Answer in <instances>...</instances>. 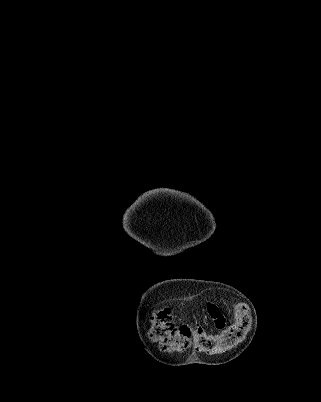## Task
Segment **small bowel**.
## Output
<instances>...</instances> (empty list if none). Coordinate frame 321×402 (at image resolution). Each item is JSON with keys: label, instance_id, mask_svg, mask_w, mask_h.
Segmentation results:
<instances>
[{"label": "small bowel", "instance_id": "obj_1", "mask_svg": "<svg viewBox=\"0 0 321 402\" xmlns=\"http://www.w3.org/2000/svg\"><path fill=\"white\" fill-rule=\"evenodd\" d=\"M206 311L216 328L223 329L225 327L226 318L215 303L208 302L206 305Z\"/></svg>", "mask_w": 321, "mask_h": 402}]
</instances>
